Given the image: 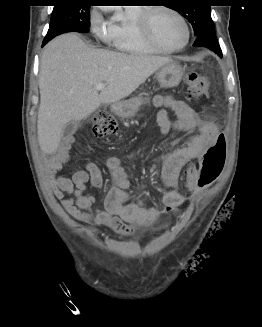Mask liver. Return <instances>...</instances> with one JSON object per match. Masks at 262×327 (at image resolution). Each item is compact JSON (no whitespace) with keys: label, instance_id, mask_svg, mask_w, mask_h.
<instances>
[{"label":"liver","instance_id":"liver-1","mask_svg":"<svg viewBox=\"0 0 262 327\" xmlns=\"http://www.w3.org/2000/svg\"><path fill=\"white\" fill-rule=\"evenodd\" d=\"M169 57L124 54L88 47L76 34L50 41L42 54L37 134L45 154L55 152L69 122L87 118L101 104L132 94ZM104 83L103 90L94 86Z\"/></svg>","mask_w":262,"mask_h":327}]
</instances>
